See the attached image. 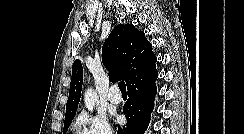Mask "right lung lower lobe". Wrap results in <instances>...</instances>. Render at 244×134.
<instances>
[{"instance_id": "obj_1", "label": "right lung lower lobe", "mask_w": 244, "mask_h": 134, "mask_svg": "<svg viewBox=\"0 0 244 134\" xmlns=\"http://www.w3.org/2000/svg\"><path fill=\"white\" fill-rule=\"evenodd\" d=\"M158 74L128 87V100L123 107L127 123L118 128L117 134H143L149 124L157 92Z\"/></svg>"}]
</instances>
